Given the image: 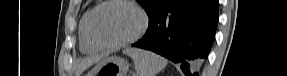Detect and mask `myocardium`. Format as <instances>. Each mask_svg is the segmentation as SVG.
Instances as JSON below:
<instances>
[{
	"label": "myocardium",
	"instance_id": "myocardium-1",
	"mask_svg": "<svg viewBox=\"0 0 287 76\" xmlns=\"http://www.w3.org/2000/svg\"><path fill=\"white\" fill-rule=\"evenodd\" d=\"M114 3H124L132 8H134L141 17V25L137 32L129 38L123 39L118 42H105L102 41L97 34L95 33V19L98 13L106 6ZM149 25V18L145 10L139 6L136 2L132 0H107L99 3L94 9L91 11L89 18H88V34L90 39L93 41L95 45H97L101 49H117L124 47L126 45L132 44L139 40L146 32Z\"/></svg>",
	"mask_w": 287,
	"mask_h": 76
}]
</instances>
